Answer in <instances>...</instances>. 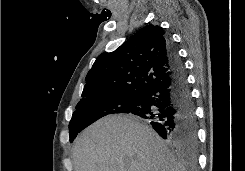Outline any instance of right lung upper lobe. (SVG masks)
<instances>
[{
	"mask_svg": "<svg viewBox=\"0 0 245 171\" xmlns=\"http://www.w3.org/2000/svg\"><path fill=\"white\" fill-rule=\"evenodd\" d=\"M160 26L147 25L110 53L99 55L86 76L82 101L140 96L170 75L169 40Z\"/></svg>",
	"mask_w": 245,
	"mask_h": 171,
	"instance_id": "obj_1",
	"label": "right lung upper lobe"
}]
</instances>
